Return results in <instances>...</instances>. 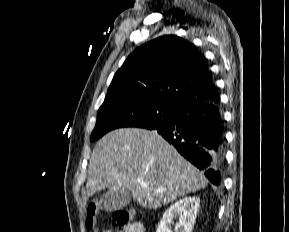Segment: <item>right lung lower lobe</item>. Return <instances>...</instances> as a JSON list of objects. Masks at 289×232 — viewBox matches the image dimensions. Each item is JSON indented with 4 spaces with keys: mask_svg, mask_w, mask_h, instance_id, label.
Here are the masks:
<instances>
[{
    "mask_svg": "<svg viewBox=\"0 0 289 232\" xmlns=\"http://www.w3.org/2000/svg\"><path fill=\"white\" fill-rule=\"evenodd\" d=\"M219 97L192 102L177 109L176 117L155 130L177 151L218 185L224 165L223 122Z\"/></svg>",
    "mask_w": 289,
    "mask_h": 232,
    "instance_id": "1",
    "label": "right lung lower lobe"
}]
</instances>
